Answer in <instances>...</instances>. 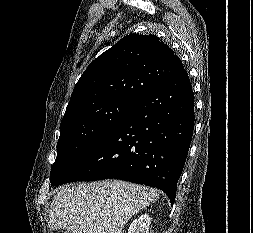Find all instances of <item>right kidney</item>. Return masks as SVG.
Wrapping results in <instances>:
<instances>
[{
    "mask_svg": "<svg viewBox=\"0 0 253 233\" xmlns=\"http://www.w3.org/2000/svg\"><path fill=\"white\" fill-rule=\"evenodd\" d=\"M151 219L149 215L143 214L139 218L133 220L130 224L128 233H148Z\"/></svg>",
    "mask_w": 253,
    "mask_h": 233,
    "instance_id": "right-kidney-1",
    "label": "right kidney"
}]
</instances>
